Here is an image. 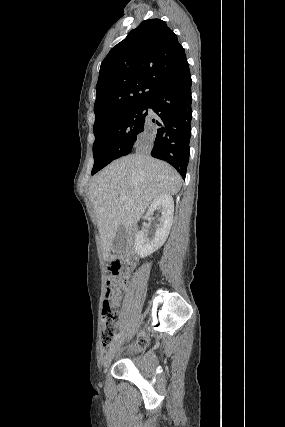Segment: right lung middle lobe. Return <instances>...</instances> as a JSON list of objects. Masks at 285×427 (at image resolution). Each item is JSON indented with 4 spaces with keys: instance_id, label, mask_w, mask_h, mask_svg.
I'll list each match as a JSON object with an SVG mask.
<instances>
[{
    "instance_id": "dd1d6c3e",
    "label": "right lung middle lobe",
    "mask_w": 285,
    "mask_h": 427,
    "mask_svg": "<svg viewBox=\"0 0 285 427\" xmlns=\"http://www.w3.org/2000/svg\"><path fill=\"white\" fill-rule=\"evenodd\" d=\"M148 102L126 108L93 127L94 166L91 174L111 161L129 154L136 147L144 131Z\"/></svg>"
}]
</instances>
